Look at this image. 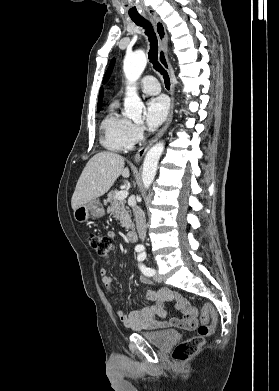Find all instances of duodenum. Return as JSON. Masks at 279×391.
Wrapping results in <instances>:
<instances>
[{
    "mask_svg": "<svg viewBox=\"0 0 279 391\" xmlns=\"http://www.w3.org/2000/svg\"><path fill=\"white\" fill-rule=\"evenodd\" d=\"M127 239L131 243H135L139 239V233L137 229H131L127 234Z\"/></svg>",
    "mask_w": 279,
    "mask_h": 391,
    "instance_id": "1",
    "label": "duodenum"
}]
</instances>
